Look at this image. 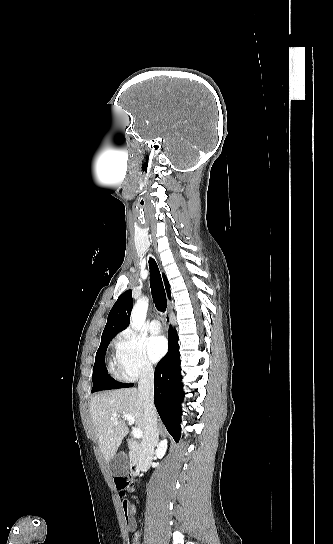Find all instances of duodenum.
Returning <instances> with one entry per match:
<instances>
[{
    "label": "duodenum",
    "instance_id": "410a0bca",
    "mask_svg": "<svg viewBox=\"0 0 333 544\" xmlns=\"http://www.w3.org/2000/svg\"><path fill=\"white\" fill-rule=\"evenodd\" d=\"M128 445L131 454L130 472L133 476H138L148 467L149 451L133 441H129Z\"/></svg>",
    "mask_w": 333,
    "mask_h": 544
}]
</instances>
